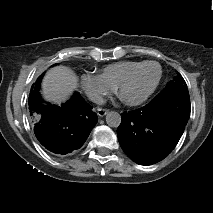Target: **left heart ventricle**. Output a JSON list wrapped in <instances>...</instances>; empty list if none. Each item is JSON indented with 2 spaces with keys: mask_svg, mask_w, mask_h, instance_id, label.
Returning a JSON list of instances; mask_svg holds the SVG:
<instances>
[{
  "mask_svg": "<svg viewBox=\"0 0 213 213\" xmlns=\"http://www.w3.org/2000/svg\"><path fill=\"white\" fill-rule=\"evenodd\" d=\"M157 76L158 69L155 65L143 66L123 87L121 96L124 100H137L142 98L151 90Z\"/></svg>",
  "mask_w": 213,
  "mask_h": 213,
  "instance_id": "left-heart-ventricle-1",
  "label": "left heart ventricle"
}]
</instances>
